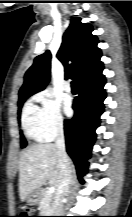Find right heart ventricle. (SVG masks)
Wrapping results in <instances>:
<instances>
[{
  "mask_svg": "<svg viewBox=\"0 0 132 217\" xmlns=\"http://www.w3.org/2000/svg\"><path fill=\"white\" fill-rule=\"evenodd\" d=\"M22 127L25 135L34 142L42 141L40 134V113L39 108L29 102L25 105L22 114Z\"/></svg>",
  "mask_w": 132,
  "mask_h": 217,
  "instance_id": "e07e8e85",
  "label": "right heart ventricle"
}]
</instances>
